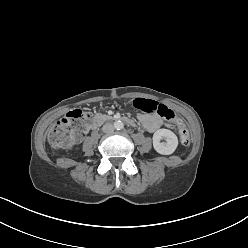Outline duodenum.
Returning <instances> with one entry per match:
<instances>
[{"label": "duodenum", "instance_id": "410a0bca", "mask_svg": "<svg viewBox=\"0 0 248 248\" xmlns=\"http://www.w3.org/2000/svg\"><path fill=\"white\" fill-rule=\"evenodd\" d=\"M109 119H113V120H121L123 121L124 123L130 125V126H133L134 125V122L129 119V118H126V117H107V116H101V117H98V118H95L93 119L91 122H90V127L92 129H96L98 126H100L104 121L106 120H109Z\"/></svg>", "mask_w": 248, "mask_h": 248}]
</instances>
